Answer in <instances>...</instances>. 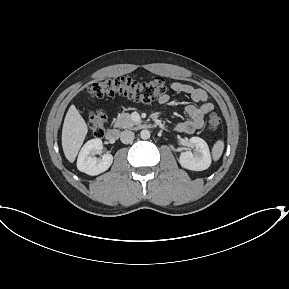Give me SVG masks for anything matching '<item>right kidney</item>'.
<instances>
[{
  "label": "right kidney",
  "instance_id": "ca27d5eb",
  "mask_svg": "<svg viewBox=\"0 0 289 289\" xmlns=\"http://www.w3.org/2000/svg\"><path fill=\"white\" fill-rule=\"evenodd\" d=\"M102 148L103 143L101 139L96 138L86 142L78 155V170L91 176L105 172L111 166L113 156L107 153L100 159L96 158L94 156L95 153Z\"/></svg>",
  "mask_w": 289,
  "mask_h": 289
}]
</instances>
